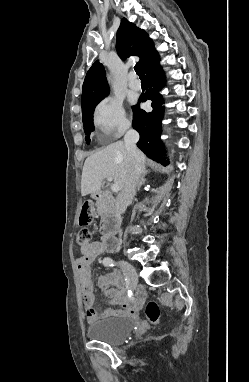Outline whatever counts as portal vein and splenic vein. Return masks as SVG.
I'll list each match as a JSON object with an SVG mask.
<instances>
[{"instance_id":"obj_1","label":"portal vein and splenic vein","mask_w":249,"mask_h":382,"mask_svg":"<svg viewBox=\"0 0 249 382\" xmlns=\"http://www.w3.org/2000/svg\"><path fill=\"white\" fill-rule=\"evenodd\" d=\"M111 190L115 193H117L119 191V187L117 184H112L111 185Z\"/></svg>"}]
</instances>
